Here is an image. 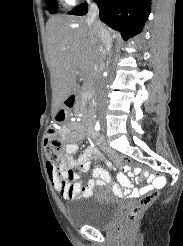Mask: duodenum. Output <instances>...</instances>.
Here are the masks:
<instances>
[{"mask_svg": "<svg viewBox=\"0 0 183 246\" xmlns=\"http://www.w3.org/2000/svg\"><path fill=\"white\" fill-rule=\"evenodd\" d=\"M66 105L70 109H77V97L72 94L70 95L66 100ZM80 107V106H79ZM91 141H97V144H99V147L102 148L103 151H108L109 147L105 144V139L103 136H91Z\"/></svg>", "mask_w": 183, "mask_h": 246, "instance_id": "410a0bca", "label": "duodenum"}]
</instances>
